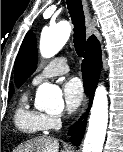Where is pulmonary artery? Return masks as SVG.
Wrapping results in <instances>:
<instances>
[{
  "instance_id": "1",
  "label": "pulmonary artery",
  "mask_w": 123,
  "mask_h": 152,
  "mask_svg": "<svg viewBox=\"0 0 123 152\" xmlns=\"http://www.w3.org/2000/svg\"><path fill=\"white\" fill-rule=\"evenodd\" d=\"M69 71V66L65 57H56L51 60L32 80L33 85L50 79L55 76L66 74Z\"/></svg>"
}]
</instances>
